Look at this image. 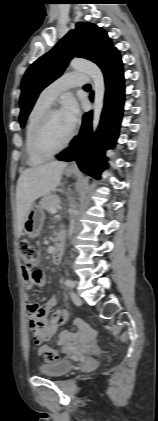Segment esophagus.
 Returning <instances> with one entry per match:
<instances>
[{
    "label": "esophagus",
    "mask_w": 158,
    "mask_h": 421,
    "mask_svg": "<svg viewBox=\"0 0 158 421\" xmlns=\"http://www.w3.org/2000/svg\"><path fill=\"white\" fill-rule=\"evenodd\" d=\"M70 167H75V163H72V164L70 165Z\"/></svg>",
    "instance_id": "esophagus-1"
}]
</instances>
